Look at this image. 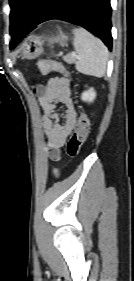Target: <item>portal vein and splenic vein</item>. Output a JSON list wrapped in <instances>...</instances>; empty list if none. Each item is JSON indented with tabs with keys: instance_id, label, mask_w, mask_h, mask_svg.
Here are the masks:
<instances>
[{
	"instance_id": "1",
	"label": "portal vein and splenic vein",
	"mask_w": 134,
	"mask_h": 281,
	"mask_svg": "<svg viewBox=\"0 0 134 281\" xmlns=\"http://www.w3.org/2000/svg\"><path fill=\"white\" fill-rule=\"evenodd\" d=\"M72 56H76V54L74 53V52H72V54H71Z\"/></svg>"
}]
</instances>
